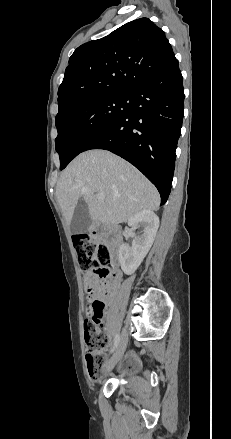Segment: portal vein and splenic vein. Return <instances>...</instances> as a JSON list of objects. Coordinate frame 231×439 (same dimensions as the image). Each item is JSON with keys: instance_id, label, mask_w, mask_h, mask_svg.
I'll return each mask as SVG.
<instances>
[{"instance_id": "1", "label": "portal vein and splenic vein", "mask_w": 231, "mask_h": 439, "mask_svg": "<svg viewBox=\"0 0 231 439\" xmlns=\"http://www.w3.org/2000/svg\"><path fill=\"white\" fill-rule=\"evenodd\" d=\"M96 197L99 200H103L104 199V194H102V193L96 194Z\"/></svg>"}]
</instances>
